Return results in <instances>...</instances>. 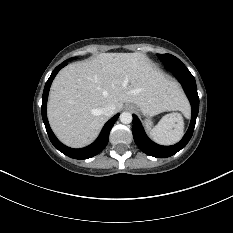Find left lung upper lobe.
<instances>
[{
    "label": "left lung upper lobe",
    "mask_w": 233,
    "mask_h": 233,
    "mask_svg": "<svg viewBox=\"0 0 233 233\" xmlns=\"http://www.w3.org/2000/svg\"><path fill=\"white\" fill-rule=\"evenodd\" d=\"M158 57L163 61L165 68L169 71L188 70L178 58L171 54H158Z\"/></svg>",
    "instance_id": "5c2ea615"
}]
</instances>
